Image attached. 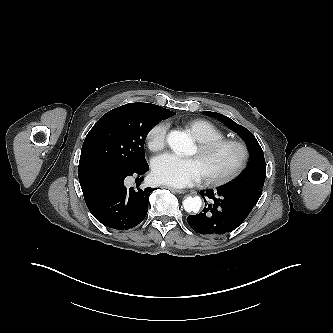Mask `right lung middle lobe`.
<instances>
[{"label": "right lung middle lobe", "mask_w": 333, "mask_h": 333, "mask_svg": "<svg viewBox=\"0 0 333 333\" xmlns=\"http://www.w3.org/2000/svg\"><path fill=\"white\" fill-rule=\"evenodd\" d=\"M172 115L160 110L123 105L103 115L87 134L79 167L109 164L127 170L142 168L147 162L144 143L149 131Z\"/></svg>", "instance_id": "right-lung-middle-lobe-1"}]
</instances>
